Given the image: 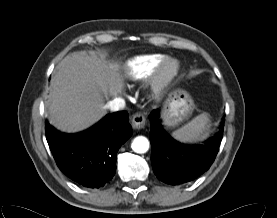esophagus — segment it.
Returning a JSON list of instances; mask_svg holds the SVG:
<instances>
[{
	"mask_svg": "<svg viewBox=\"0 0 277 218\" xmlns=\"http://www.w3.org/2000/svg\"><path fill=\"white\" fill-rule=\"evenodd\" d=\"M146 123V118L143 113H136L133 115L131 124L134 129H142L144 128Z\"/></svg>",
	"mask_w": 277,
	"mask_h": 218,
	"instance_id": "34e87169",
	"label": "esophagus"
}]
</instances>
